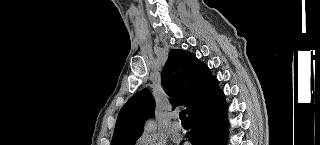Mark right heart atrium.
I'll return each instance as SVG.
<instances>
[{"mask_svg": "<svg viewBox=\"0 0 320 145\" xmlns=\"http://www.w3.org/2000/svg\"><path fill=\"white\" fill-rule=\"evenodd\" d=\"M138 145H164V140L151 134H144L137 140Z\"/></svg>", "mask_w": 320, "mask_h": 145, "instance_id": "d8ad5b80", "label": "right heart atrium"}]
</instances>
